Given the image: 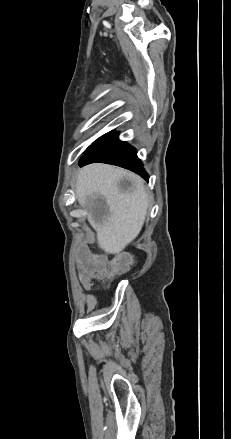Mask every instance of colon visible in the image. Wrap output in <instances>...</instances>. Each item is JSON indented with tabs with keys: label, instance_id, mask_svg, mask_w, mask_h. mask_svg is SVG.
<instances>
[{
	"label": "colon",
	"instance_id": "5ec220e1",
	"mask_svg": "<svg viewBox=\"0 0 231 439\" xmlns=\"http://www.w3.org/2000/svg\"><path fill=\"white\" fill-rule=\"evenodd\" d=\"M83 258L79 261V266L84 268L81 272L80 282L82 285L86 286V290H91V279L89 276L94 278H108L115 276L124 272L127 269L128 263L126 260H106L103 257L91 254V248L88 245H84L80 251Z\"/></svg>",
	"mask_w": 231,
	"mask_h": 439
}]
</instances>
